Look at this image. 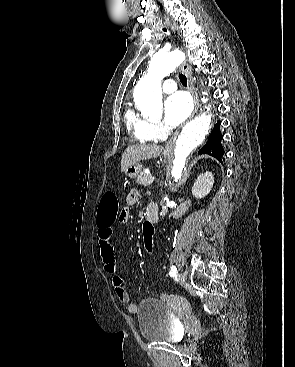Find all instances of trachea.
Returning a JSON list of instances; mask_svg holds the SVG:
<instances>
[{
    "mask_svg": "<svg viewBox=\"0 0 295 367\" xmlns=\"http://www.w3.org/2000/svg\"><path fill=\"white\" fill-rule=\"evenodd\" d=\"M163 31L166 32L167 29L166 28H163ZM179 78H180V82L182 83V85L187 86V78H186V76L183 75V74H181L179 76Z\"/></svg>",
    "mask_w": 295,
    "mask_h": 367,
    "instance_id": "obj_1",
    "label": "trachea"
}]
</instances>
